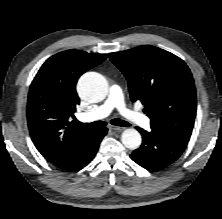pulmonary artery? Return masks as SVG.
Masks as SVG:
<instances>
[{
	"label": "pulmonary artery",
	"mask_w": 222,
	"mask_h": 219,
	"mask_svg": "<svg viewBox=\"0 0 222 219\" xmlns=\"http://www.w3.org/2000/svg\"><path fill=\"white\" fill-rule=\"evenodd\" d=\"M116 108L119 113L128 121L142 127H148L150 120L139 111L128 108L124 102L122 90L118 85H113L107 101L89 113L81 114L80 120L89 122L107 117Z\"/></svg>",
	"instance_id": "obj_1"
}]
</instances>
